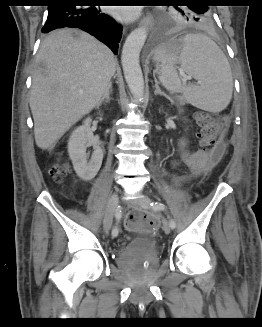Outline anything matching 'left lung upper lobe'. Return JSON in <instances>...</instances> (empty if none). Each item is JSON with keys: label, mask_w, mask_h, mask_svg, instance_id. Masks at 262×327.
<instances>
[{"label": "left lung upper lobe", "mask_w": 262, "mask_h": 327, "mask_svg": "<svg viewBox=\"0 0 262 327\" xmlns=\"http://www.w3.org/2000/svg\"><path fill=\"white\" fill-rule=\"evenodd\" d=\"M187 6H174V11H160L162 28H170L176 24L192 26H209L212 24L210 6L201 0H179Z\"/></svg>", "instance_id": "5c2ea615"}]
</instances>
